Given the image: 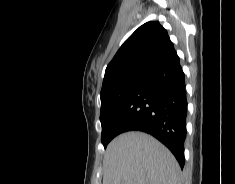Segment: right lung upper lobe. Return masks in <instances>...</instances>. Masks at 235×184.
<instances>
[{"mask_svg":"<svg viewBox=\"0 0 235 184\" xmlns=\"http://www.w3.org/2000/svg\"><path fill=\"white\" fill-rule=\"evenodd\" d=\"M175 52L166 29L159 22L143 24L123 43L108 64L101 96L131 78H144Z\"/></svg>","mask_w":235,"mask_h":184,"instance_id":"1","label":"right lung upper lobe"}]
</instances>
